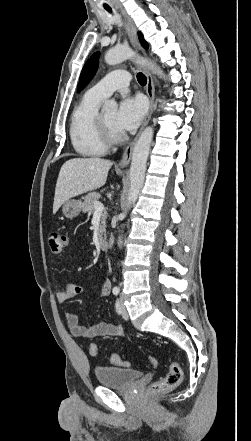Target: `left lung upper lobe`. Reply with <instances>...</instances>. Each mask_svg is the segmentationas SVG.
<instances>
[{
  "label": "left lung upper lobe",
  "instance_id": "5c2ea615",
  "mask_svg": "<svg viewBox=\"0 0 251 441\" xmlns=\"http://www.w3.org/2000/svg\"><path fill=\"white\" fill-rule=\"evenodd\" d=\"M138 36H139V40H140L142 46L145 49H148V44L144 40L143 35L139 32ZM98 57H99L98 53L93 54L90 57V59L86 62V64L84 65L82 72H81V75H80V82L78 84V90H81L84 86H86L87 83L91 80V78L95 74L96 69H97V64H98Z\"/></svg>",
  "mask_w": 251,
  "mask_h": 441
}]
</instances>
